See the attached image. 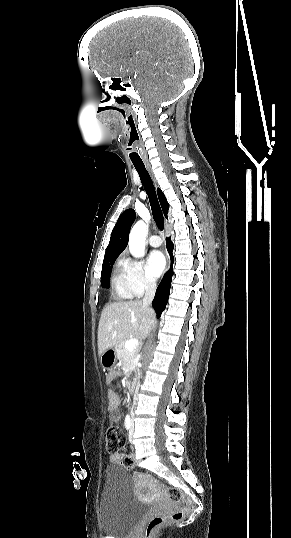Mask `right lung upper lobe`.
I'll return each instance as SVG.
<instances>
[{
  "mask_svg": "<svg viewBox=\"0 0 291 538\" xmlns=\"http://www.w3.org/2000/svg\"><path fill=\"white\" fill-rule=\"evenodd\" d=\"M157 193L164 215L167 217L169 204L167 203L165 195L159 188L157 189ZM135 217L136 214L133 209H128L120 215L112 231L110 242L105 252V262L110 259H116L118 255L126 248L128 244L129 231Z\"/></svg>",
  "mask_w": 291,
  "mask_h": 538,
  "instance_id": "right-lung-upper-lobe-1",
  "label": "right lung upper lobe"
}]
</instances>
